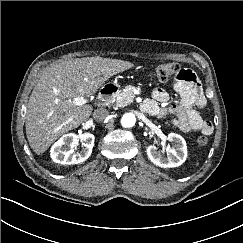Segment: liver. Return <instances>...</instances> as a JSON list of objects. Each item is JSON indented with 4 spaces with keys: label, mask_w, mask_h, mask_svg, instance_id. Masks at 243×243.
<instances>
[{
    "label": "liver",
    "mask_w": 243,
    "mask_h": 243,
    "mask_svg": "<svg viewBox=\"0 0 243 243\" xmlns=\"http://www.w3.org/2000/svg\"><path fill=\"white\" fill-rule=\"evenodd\" d=\"M133 66L128 61L85 57L51 65L36 83L27 106L26 135L40 155L64 133L77 128L92 113V106L74 104L90 97L107 79Z\"/></svg>",
    "instance_id": "6515ba94"
}]
</instances>
